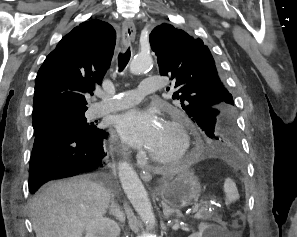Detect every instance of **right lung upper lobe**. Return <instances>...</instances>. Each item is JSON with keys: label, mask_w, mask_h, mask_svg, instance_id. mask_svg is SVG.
I'll list each match as a JSON object with an SVG mask.
<instances>
[{"label": "right lung upper lobe", "mask_w": 297, "mask_h": 237, "mask_svg": "<svg viewBox=\"0 0 297 237\" xmlns=\"http://www.w3.org/2000/svg\"><path fill=\"white\" fill-rule=\"evenodd\" d=\"M115 42V30L101 20L83 22L66 35L38 71L33 120L60 111L85 112V95L101 83Z\"/></svg>", "instance_id": "1"}]
</instances>
